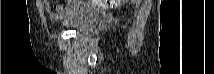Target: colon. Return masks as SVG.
Here are the masks:
<instances>
[{
  "label": "colon",
  "instance_id": "colon-1",
  "mask_svg": "<svg viewBox=\"0 0 214 74\" xmlns=\"http://www.w3.org/2000/svg\"><path fill=\"white\" fill-rule=\"evenodd\" d=\"M122 2H123L122 0H91L86 3H89L90 5L98 9H109L120 7Z\"/></svg>",
  "mask_w": 214,
  "mask_h": 74
}]
</instances>
